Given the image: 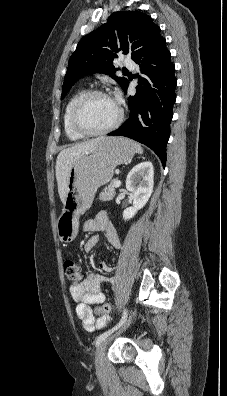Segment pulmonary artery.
Masks as SVG:
<instances>
[{"mask_svg":"<svg viewBox=\"0 0 227 396\" xmlns=\"http://www.w3.org/2000/svg\"><path fill=\"white\" fill-rule=\"evenodd\" d=\"M124 65L128 68L134 69L136 67V64L133 60L127 58L124 60Z\"/></svg>","mask_w":227,"mask_h":396,"instance_id":"pulmonary-artery-1","label":"pulmonary artery"}]
</instances>
